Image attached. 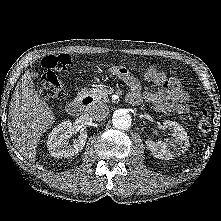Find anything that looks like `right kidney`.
I'll list each match as a JSON object with an SVG mask.
<instances>
[{
	"label": "right kidney",
	"instance_id": "ca27d5eb",
	"mask_svg": "<svg viewBox=\"0 0 221 221\" xmlns=\"http://www.w3.org/2000/svg\"><path fill=\"white\" fill-rule=\"evenodd\" d=\"M74 128L69 120L58 124L50 132L47 141L48 150L53 157H72L78 154L85 146L87 132H82L73 144L69 143V139L74 134Z\"/></svg>",
	"mask_w": 221,
	"mask_h": 221
}]
</instances>
